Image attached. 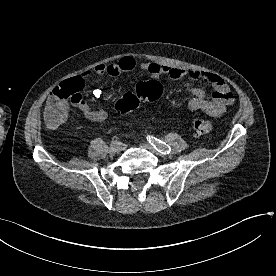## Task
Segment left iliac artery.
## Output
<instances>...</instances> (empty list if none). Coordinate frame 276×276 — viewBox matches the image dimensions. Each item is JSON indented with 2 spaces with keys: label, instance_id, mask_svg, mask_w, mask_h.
I'll return each instance as SVG.
<instances>
[{
  "label": "left iliac artery",
  "instance_id": "1",
  "mask_svg": "<svg viewBox=\"0 0 276 276\" xmlns=\"http://www.w3.org/2000/svg\"><path fill=\"white\" fill-rule=\"evenodd\" d=\"M149 143L156 148V150H158L160 153L162 154H166L169 153L171 148L163 141L153 137V136H149L147 137Z\"/></svg>",
  "mask_w": 276,
  "mask_h": 276
}]
</instances>
